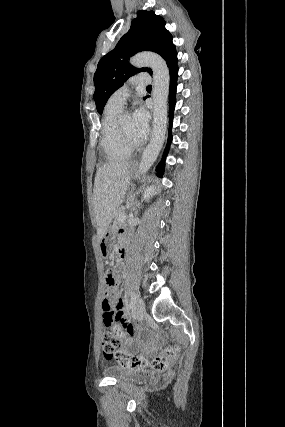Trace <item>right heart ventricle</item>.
Segmentation results:
<instances>
[{
  "label": "right heart ventricle",
  "instance_id": "right-heart-ventricle-1",
  "mask_svg": "<svg viewBox=\"0 0 285 427\" xmlns=\"http://www.w3.org/2000/svg\"><path fill=\"white\" fill-rule=\"evenodd\" d=\"M121 110L122 108L107 103L102 119L101 146L106 158L113 162L129 159L133 151L124 145L117 131V118Z\"/></svg>",
  "mask_w": 285,
  "mask_h": 427
}]
</instances>
